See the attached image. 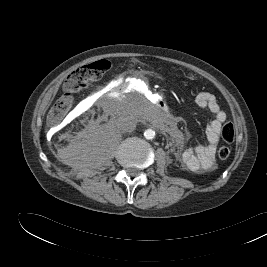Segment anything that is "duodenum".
Returning a JSON list of instances; mask_svg holds the SVG:
<instances>
[{
    "mask_svg": "<svg viewBox=\"0 0 267 267\" xmlns=\"http://www.w3.org/2000/svg\"><path fill=\"white\" fill-rule=\"evenodd\" d=\"M115 92L117 94L123 93L125 96L131 97V96H138L139 98L145 99L147 97V94L139 90L136 86L133 84H127L126 82H119L117 84V88L115 89ZM157 109L163 110L165 113L167 112V107L163 102H158L156 104Z\"/></svg>",
    "mask_w": 267,
    "mask_h": 267,
    "instance_id": "obj_1",
    "label": "duodenum"
}]
</instances>
